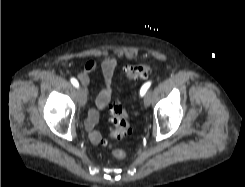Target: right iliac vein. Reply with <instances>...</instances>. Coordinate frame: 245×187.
I'll return each instance as SVG.
<instances>
[{
    "label": "right iliac vein",
    "mask_w": 245,
    "mask_h": 187,
    "mask_svg": "<svg viewBox=\"0 0 245 187\" xmlns=\"http://www.w3.org/2000/svg\"><path fill=\"white\" fill-rule=\"evenodd\" d=\"M77 98L79 106H84L86 104L87 96L85 90L82 87L77 92Z\"/></svg>",
    "instance_id": "obj_1"
}]
</instances>
